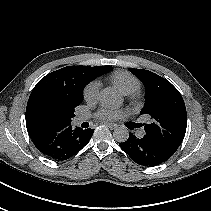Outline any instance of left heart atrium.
Instances as JSON below:
<instances>
[{"instance_id":"left-heart-atrium-1","label":"left heart atrium","mask_w":211,"mask_h":211,"mask_svg":"<svg viewBox=\"0 0 211 211\" xmlns=\"http://www.w3.org/2000/svg\"><path fill=\"white\" fill-rule=\"evenodd\" d=\"M121 112L115 108L104 106L100 108L97 113V117L100 119H115L119 117Z\"/></svg>"}]
</instances>
